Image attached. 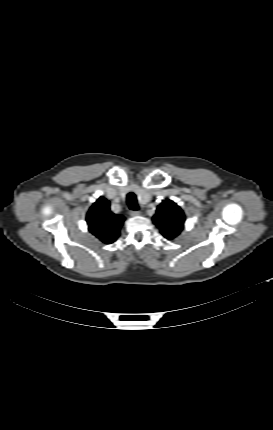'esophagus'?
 I'll use <instances>...</instances> for the list:
<instances>
[{
  "instance_id": "34e87169",
  "label": "esophagus",
  "mask_w": 273,
  "mask_h": 430,
  "mask_svg": "<svg viewBox=\"0 0 273 430\" xmlns=\"http://www.w3.org/2000/svg\"><path fill=\"white\" fill-rule=\"evenodd\" d=\"M129 215L130 216H139V215H141V212L140 211H133V210H131V211H129Z\"/></svg>"
}]
</instances>
